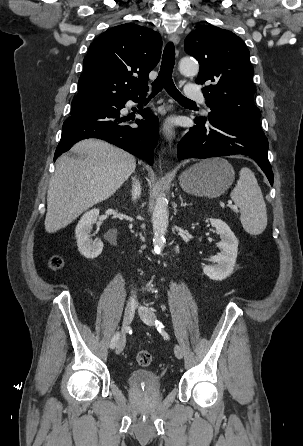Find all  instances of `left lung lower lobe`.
Listing matches in <instances>:
<instances>
[{
    "instance_id": "left-lung-lower-lobe-1",
    "label": "left lung lower lobe",
    "mask_w": 303,
    "mask_h": 446,
    "mask_svg": "<svg viewBox=\"0 0 303 446\" xmlns=\"http://www.w3.org/2000/svg\"><path fill=\"white\" fill-rule=\"evenodd\" d=\"M196 125L178 144V159H205L223 155H246L252 158L273 185V172L268 160V140L259 134L211 115L207 121L195 119Z\"/></svg>"
}]
</instances>
